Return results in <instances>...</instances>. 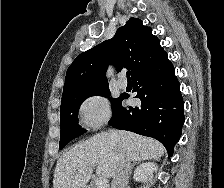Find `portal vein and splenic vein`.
Wrapping results in <instances>:
<instances>
[{"label":"portal vein and splenic vein","mask_w":224,"mask_h":188,"mask_svg":"<svg viewBox=\"0 0 224 188\" xmlns=\"http://www.w3.org/2000/svg\"><path fill=\"white\" fill-rule=\"evenodd\" d=\"M86 169L80 170L81 172H84ZM96 188H108V180L104 177H98L95 181Z\"/></svg>","instance_id":"obj_1"}]
</instances>
